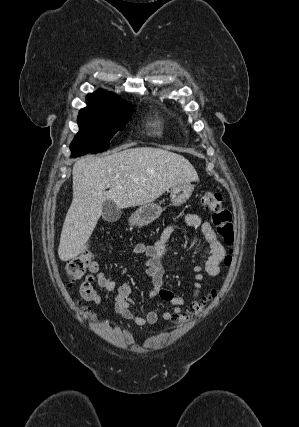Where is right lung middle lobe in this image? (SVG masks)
<instances>
[{
	"label": "right lung middle lobe",
	"instance_id": "obj_1",
	"mask_svg": "<svg viewBox=\"0 0 299 427\" xmlns=\"http://www.w3.org/2000/svg\"><path fill=\"white\" fill-rule=\"evenodd\" d=\"M133 112L129 102L88 104L78 115L79 132L70 145L72 156L107 150L109 141L124 129Z\"/></svg>",
	"mask_w": 299,
	"mask_h": 427
}]
</instances>
